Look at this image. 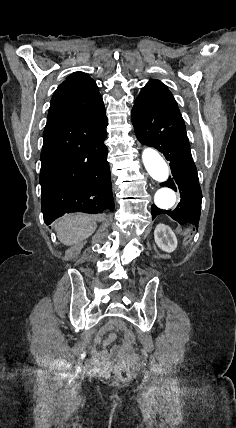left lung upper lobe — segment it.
I'll use <instances>...</instances> for the list:
<instances>
[{
	"mask_svg": "<svg viewBox=\"0 0 236 428\" xmlns=\"http://www.w3.org/2000/svg\"><path fill=\"white\" fill-rule=\"evenodd\" d=\"M134 106L180 113L173 95L168 88L158 80H151L142 89L135 100Z\"/></svg>",
	"mask_w": 236,
	"mask_h": 428,
	"instance_id": "5c2ea615",
	"label": "left lung upper lobe"
}]
</instances>
